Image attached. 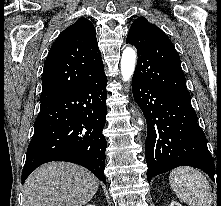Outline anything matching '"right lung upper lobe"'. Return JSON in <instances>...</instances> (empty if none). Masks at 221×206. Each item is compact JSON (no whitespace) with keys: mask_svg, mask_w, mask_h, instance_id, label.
Returning a JSON list of instances; mask_svg holds the SVG:
<instances>
[{"mask_svg":"<svg viewBox=\"0 0 221 206\" xmlns=\"http://www.w3.org/2000/svg\"><path fill=\"white\" fill-rule=\"evenodd\" d=\"M103 72L95 28L81 18L58 36L48 53L40 102L74 90Z\"/></svg>","mask_w":221,"mask_h":206,"instance_id":"right-lung-upper-lobe-1","label":"right lung upper lobe"}]
</instances>
